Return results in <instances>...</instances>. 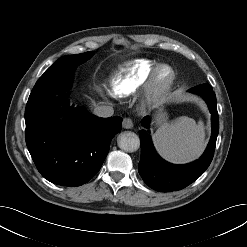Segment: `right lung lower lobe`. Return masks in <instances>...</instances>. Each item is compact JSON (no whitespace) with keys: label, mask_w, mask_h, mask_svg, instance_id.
I'll return each mask as SVG.
<instances>
[{"label":"right lung lower lobe","mask_w":247,"mask_h":247,"mask_svg":"<svg viewBox=\"0 0 247 247\" xmlns=\"http://www.w3.org/2000/svg\"><path fill=\"white\" fill-rule=\"evenodd\" d=\"M51 94L29 98L25 110L26 144L41 175L62 186H80L100 170L112 138L121 131L119 116L99 118ZM65 110L67 117L57 121Z\"/></svg>","instance_id":"98d812e1"}]
</instances>
